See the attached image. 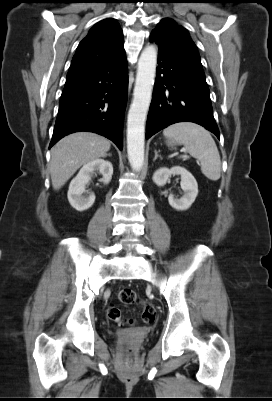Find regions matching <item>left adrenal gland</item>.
<instances>
[{"label": "left adrenal gland", "instance_id": "obj_1", "mask_svg": "<svg viewBox=\"0 0 272 401\" xmlns=\"http://www.w3.org/2000/svg\"><path fill=\"white\" fill-rule=\"evenodd\" d=\"M154 152H155V157H154L153 161H156V159H157L158 157H159L160 159H162V156L158 154V151H157V150H155Z\"/></svg>", "mask_w": 272, "mask_h": 401}]
</instances>
